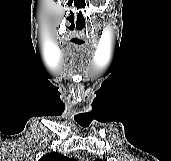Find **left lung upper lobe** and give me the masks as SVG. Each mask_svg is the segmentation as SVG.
I'll return each instance as SVG.
<instances>
[{"instance_id":"1","label":"left lung upper lobe","mask_w":171,"mask_h":161,"mask_svg":"<svg viewBox=\"0 0 171 161\" xmlns=\"http://www.w3.org/2000/svg\"><path fill=\"white\" fill-rule=\"evenodd\" d=\"M95 161H102V160L96 159Z\"/></svg>"}]
</instances>
